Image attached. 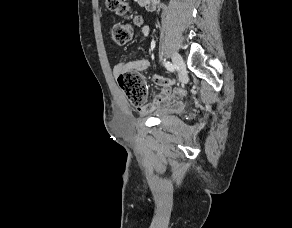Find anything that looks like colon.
Segmentation results:
<instances>
[{"label":"colon","mask_w":292,"mask_h":228,"mask_svg":"<svg viewBox=\"0 0 292 228\" xmlns=\"http://www.w3.org/2000/svg\"><path fill=\"white\" fill-rule=\"evenodd\" d=\"M109 10L124 15L129 12L127 0H106ZM141 23L139 17L132 19V23H116L110 28V37L116 45H125L132 36V24ZM118 84L130 103L136 107H142L147 99V91L142 75L134 70H127L121 73L117 78Z\"/></svg>","instance_id":"colon-1"}]
</instances>
